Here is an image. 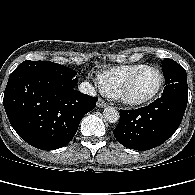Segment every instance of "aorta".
Wrapping results in <instances>:
<instances>
[{
	"mask_svg": "<svg viewBox=\"0 0 195 195\" xmlns=\"http://www.w3.org/2000/svg\"><path fill=\"white\" fill-rule=\"evenodd\" d=\"M103 117L109 123H116L120 115L115 107H106L103 111Z\"/></svg>",
	"mask_w": 195,
	"mask_h": 195,
	"instance_id": "1",
	"label": "aorta"
}]
</instances>
